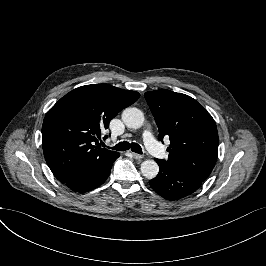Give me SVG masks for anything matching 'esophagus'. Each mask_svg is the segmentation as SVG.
Returning a JSON list of instances; mask_svg holds the SVG:
<instances>
[{"label": "esophagus", "instance_id": "obj_1", "mask_svg": "<svg viewBox=\"0 0 266 266\" xmlns=\"http://www.w3.org/2000/svg\"><path fill=\"white\" fill-rule=\"evenodd\" d=\"M132 155H133V158L136 159V160L143 159V156L140 155V154H138V153H134V152H133Z\"/></svg>", "mask_w": 266, "mask_h": 266}]
</instances>
